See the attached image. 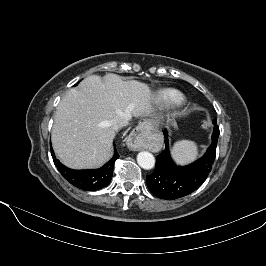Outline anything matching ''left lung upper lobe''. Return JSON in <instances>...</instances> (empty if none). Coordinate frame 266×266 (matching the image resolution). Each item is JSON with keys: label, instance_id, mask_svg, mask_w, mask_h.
Masks as SVG:
<instances>
[{"label": "left lung upper lobe", "instance_id": "1", "mask_svg": "<svg viewBox=\"0 0 266 266\" xmlns=\"http://www.w3.org/2000/svg\"><path fill=\"white\" fill-rule=\"evenodd\" d=\"M213 124H214V131H213V136H218L219 135V128L217 127V123L216 120H213Z\"/></svg>", "mask_w": 266, "mask_h": 266}]
</instances>
